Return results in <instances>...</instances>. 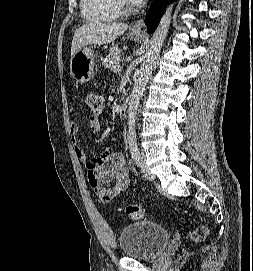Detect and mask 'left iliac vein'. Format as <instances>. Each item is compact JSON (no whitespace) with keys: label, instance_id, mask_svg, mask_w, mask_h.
Returning a JSON list of instances; mask_svg holds the SVG:
<instances>
[{"label":"left iliac vein","instance_id":"1","mask_svg":"<svg viewBox=\"0 0 253 271\" xmlns=\"http://www.w3.org/2000/svg\"><path fill=\"white\" fill-rule=\"evenodd\" d=\"M139 166L142 171L143 178L148 181L154 180L155 176L151 173V171L147 168L145 164V155L143 152L139 153Z\"/></svg>","mask_w":253,"mask_h":271}]
</instances>
